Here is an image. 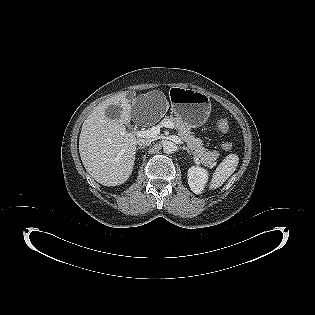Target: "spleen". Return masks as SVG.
I'll return each instance as SVG.
<instances>
[{
  "mask_svg": "<svg viewBox=\"0 0 315 315\" xmlns=\"http://www.w3.org/2000/svg\"><path fill=\"white\" fill-rule=\"evenodd\" d=\"M239 158L236 154H229L218 165L213 173L209 189L213 190L220 187L236 170Z\"/></svg>",
  "mask_w": 315,
  "mask_h": 315,
  "instance_id": "3e777b00",
  "label": "spleen"
}]
</instances>
